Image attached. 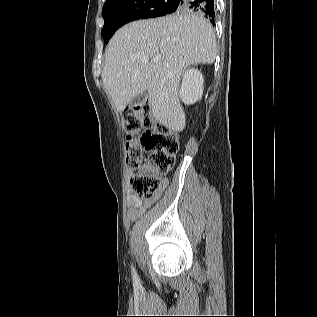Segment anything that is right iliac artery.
Returning <instances> with one entry per match:
<instances>
[{"mask_svg":"<svg viewBox=\"0 0 317 317\" xmlns=\"http://www.w3.org/2000/svg\"><path fill=\"white\" fill-rule=\"evenodd\" d=\"M132 276H133L134 283L137 284L139 282V278H138L136 271L133 267H132Z\"/></svg>","mask_w":317,"mask_h":317,"instance_id":"82829eb1","label":"right iliac artery"}]
</instances>
